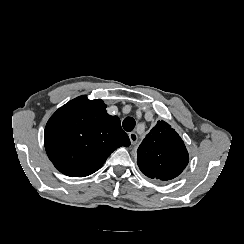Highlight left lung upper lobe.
<instances>
[{
  "label": "left lung upper lobe",
  "mask_w": 244,
  "mask_h": 244,
  "mask_svg": "<svg viewBox=\"0 0 244 244\" xmlns=\"http://www.w3.org/2000/svg\"><path fill=\"white\" fill-rule=\"evenodd\" d=\"M188 160L181 137L164 121L157 122L137 150V164L141 172L158 181L177 177L187 166Z\"/></svg>",
  "instance_id": "5c2ea615"
}]
</instances>
